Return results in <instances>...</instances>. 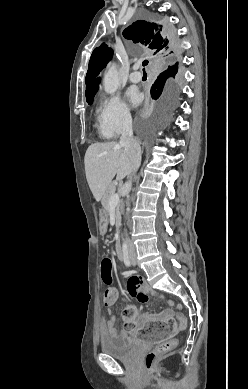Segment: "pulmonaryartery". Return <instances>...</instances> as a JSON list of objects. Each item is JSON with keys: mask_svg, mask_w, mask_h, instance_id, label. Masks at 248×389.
Instances as JSON below:
<instances>
[{"mask_svg": "<svg viewBox=\"0 0 248 389\" xmlns=\"http://www.w3.org/2000/svg\"><path fill=\"white\" fill-rule=\"evenodd\" d=\"M138 65L134 66V71L129 75V80L133 83H138L142 79V75L137 71Z\"/></svg>", "mask_w": 248, "mask_h": 389, "instance_id": "pulmonary-artery-1", "label": "pulmonary artery"}]
</instances>
